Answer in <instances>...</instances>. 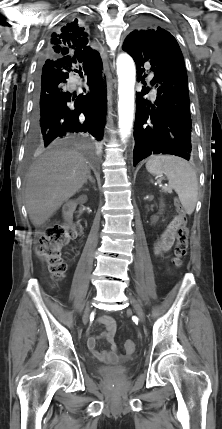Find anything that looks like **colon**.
Segmentation results:
<instances>
[{
  "label": "colon",
  "mask_w": 222,
  "mask_h": 429,
  "mask_svg": "<svg viewBox=\"0 0 222 429\" xmlns=\"http://www.w3.org/2000/svg\"><path fill=\"white\" fill-rule=\"evenodd\" d=\"M176 210L180 225L176 232V243L174 249L175 264L180 265L188 251L189 230L186 226V213L178 200H175ZM76 235V229L72 225L54 224L43 232L36 247L37 254L47 264L50 274L55 280L64 277L67 265L64 262L61 252L71 239ZM124 348L128 354L135 351V343L132 340H126Z\"/></svg>",
  "instance_id": "1"
}]
</instances>
